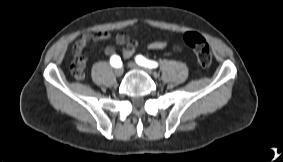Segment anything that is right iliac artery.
<instances>
[{
    "mask_svg": "<svg viewBox=\"0 0 283 162\" xmlns=\"http://www.w3.org/2000/svg\"><path fill=\"white\" fill-rule=\"evenodd\" d=\"M110 63L113 67H120L121 65V59L119 56L117 55H113L111 58H110Z\"/></svg>",
    "mask_w": 283,
    "mask_h": 162,
    "instance_id": "82829eb1",
    "label": "right iliac artery"
}]
</instances>
